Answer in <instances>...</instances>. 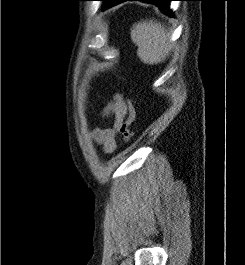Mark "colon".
Returning a JSON list of instances; mask_svg holds the SVG:
<instances>
[{"label":"colon","mask_w":245,"mask_h":265,"mask_svg":"<svg viewBox=\"0 0 245 265\" xmlns=\"http://www.w3.org/2000/svg\"><path fill=\"white\" fill-rule=\"evenodd\" d=\"M136 118L135 108L130 100L127 101V117L123 120L119 127V132L125 142L131 141L133 132L131 126Z\"/></svg>","instance_id":"5ec220e1"}]
</instances>
